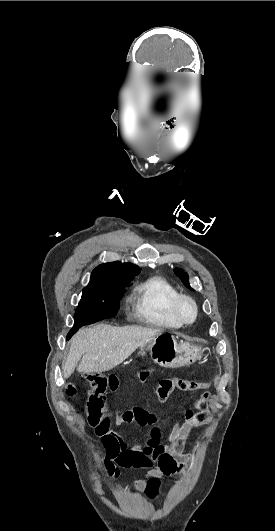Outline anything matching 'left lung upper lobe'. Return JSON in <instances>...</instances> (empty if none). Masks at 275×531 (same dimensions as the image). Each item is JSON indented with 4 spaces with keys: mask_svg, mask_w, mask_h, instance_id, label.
I'll return each mask as SVG.
<instances>
[{
    "mask_svg": "<svg viewBox=\"0 0 275 531\" xmlns=\"http://www.w3.org/2000/svg\"><path fill=\"white\" fill-rule=\"evenodd\" d=\"M174 272L177 276H179V278L182 280V282L185 284L186 287H188L189 289H192L189 285L188 275L183 270L179 268H175Z\"/></svg>",
    "mask_w": 275,
    "mask_h": 531,
    "instance_id": "obj_1",
    "label": "left lung upper lobe"
}]
</instances>
